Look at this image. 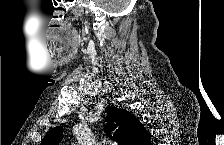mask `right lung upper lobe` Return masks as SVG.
<instances>
[{
	"label": "right lung upper lobe",
	"mask_w": 224,
	"mask_h": 145,
	"mask_svg": "<svg viewBox=\"0 0 224 145\" xmlns=\"http://www.w3.org/2000/svg\"><path fill=\"white\" fill-rule=\"evenodd\" d=\"M106 135L119 145H145L151 138L144 126L130 112L115 107L107 108ZM62 129H51L42 141V145H56L61 142Z\"/></svg>",
	"instance_id": "1"
}]
</instances>
